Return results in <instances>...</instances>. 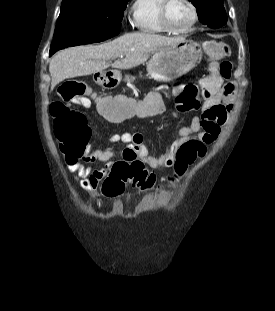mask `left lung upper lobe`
I'll list each match as a JSON object with an SVG mask.
<instances>
[{
    "mask_svg": "<svg viewBox=\"0 0 275 311\" xmlns=\"http://www.w3.org/2000/svg\"><path fill=\"white\" fill-rule=\"evenodd\" d=\"M197 8L199 20L210 28H219L226 24L227 15L224 0H189Z\"/></svg>",
    "mask_w": 275,
    "mask_h": 311,
    "instance_id": "5c2ea615",
    "label": "left lung upper lobe"
}]
</instances>
